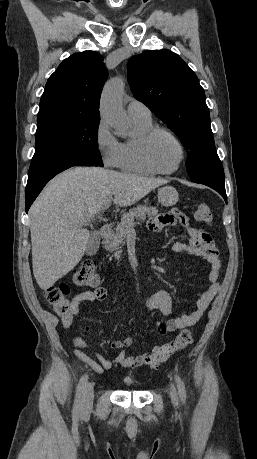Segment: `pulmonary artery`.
I'll list each match as a JSON object with an SVG mask.
<instances>
[{
  "instance_id": "1",
  "label": "pulmonary artery",
  "mask_w": 257,
  "mask_h": 459,
  "mask_svg": "<svg viewBox=\"0 0 257 459\" xmlns=\"http://www.w3.org/2000/svg\"><path fill=\"white\" fill-rule=\"evenodd\" d=\"M127 112L130 117L151 118L149 108L138 100H131L128 103Z\"/></svg>"
}]
</instances>
